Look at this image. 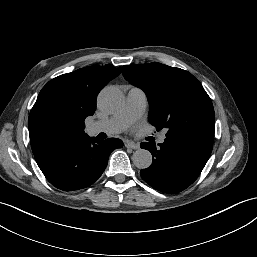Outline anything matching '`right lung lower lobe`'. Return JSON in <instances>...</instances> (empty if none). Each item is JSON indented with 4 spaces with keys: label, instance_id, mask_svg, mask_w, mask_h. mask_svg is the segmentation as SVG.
Returning <instances> with one entry per match:
<instances>
[{
    "label": "right lung lower lobe",
    "instance_id": "1",
    "mask_svg": "<svg viewBox=\"0 0 257 257\" xmlns=\"http://www.w3.org/2000/svg\"><path fill=\"white\" fill-rule=\"evenodd\" d=\"M122 146L117 138L98 140L87 135L65 139L34 157L53 186L74 191L94 183L105 170L110 153Z\"/></svg>",
    "mask_w": 257,
    "mask_h": 257
}]
</instances>
